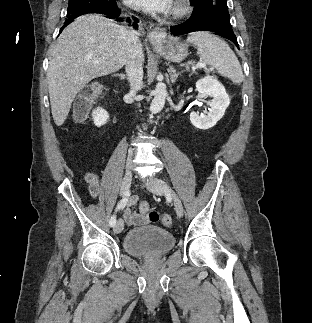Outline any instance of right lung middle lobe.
<instances>
[{
  "label": "right lung middle lobe",
  "instance_id": "right-lung-middle-lobe-1",
  "mask_svg": "<svg viewBox=\"0 0 312 323\" xmlns=\"http://www.w3.org/2000/svg\"><path fill=\"white\" fill-rule=\"evenodd\" d=\"M115 0H69L67 16L84 9L116 8Z\"/></svg>",
  "mask_w": 312,
  "mask_h": 323
}]
</instances>
